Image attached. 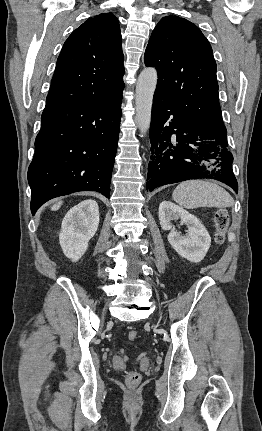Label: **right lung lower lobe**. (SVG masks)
Returning a JSON list of instances; mask_svg holds the SVG:
<instances>
[{
  "instance_id": "1",
  "label": "right lung lower lobe",
  "mask_w": 262,
  "mask_h": 431,
  "mask_svg": "<svg viewBox=\"0 0 262 431\" xmlns=\"http://www.w3.org/2000/svg\"><path fill=\"white\" fill-rule=\"evenodd\" d=\"M122 92L101 103L46 105L28 169L31 212L46 201L91 190L110 198Z\"/></svg>"
}]
</instances>
